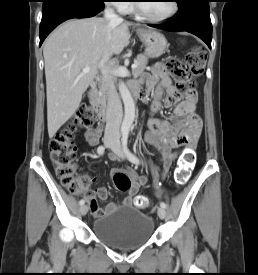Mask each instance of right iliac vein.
Segmentation results:
<instances>
[{
  "instance_id": "1",
  "label": "right iliac vein",
  "mask_w": 258,
  "mask_h": 275,
  "mask_svg": "<svg viewBox=\"0 0 258 275\" xmlns=\"http://www.w3.org/2000/svg\"><path fill=\"white\" fill-rule=\"evenodd\" d=\"M113 142H114L113 139L107 138V139H105L104 144H105L106 147H111L112 144H113ZM87 212H88V206L87 205H82L80 207V213H81V215H86Z\"/></svg>"
}]
</instances>
